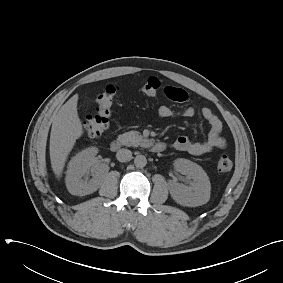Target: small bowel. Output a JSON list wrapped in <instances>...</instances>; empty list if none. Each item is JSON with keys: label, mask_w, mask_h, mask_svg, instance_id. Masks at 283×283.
I'll list each match as a JSON object with an SVG mask.
<instances>
[{"label": "small bowel", "mask_w": 283, "mask_h": 283, "mask_svg": "<svg viewBox=\"0 0 283 283\" xmlns=\"http://www.w3.org/2000/svg\"><path fill=\"white\" fill-rule=\"evenodd\" d=\"M164 93L166 97L175 102H184L188 95L185 90L176 86H165ZM177 112L168 106H161L158 109L160 118H171ZM180 115L191 118L196 115V110L193 107H186L179 112ZM202 117L209 123L210 131L208 138L205 141H191L186 136H180L173 143L172 147L181 152L189 153L193 156H202L212 152L215 149H223L226 146V141L222 137V122L210 108L201 110Z\"/></svg>", "instance_id": "c3829d8e"}]
</instances>
